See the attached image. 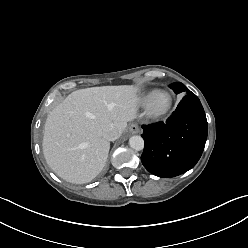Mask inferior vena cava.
<instances>
[{
    "instance_id": "inferior-vena-cava-1",
    "label": "inferior vena cava",
    "mask_w": 248,
    "mask_h": 248,
    "mask_svg": "<svg viewBox=\"0 0 248 248\" xmlns=\"http://www.w3.org/2000/svg\"><path fill=\"white\" fill-rule=\"evenodd\" d=\"M102 135L108 141H115L119 137V132L115 127L110 126L103 130Z\"/></svg>"
}]
</instances>
